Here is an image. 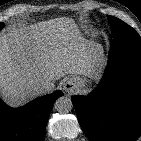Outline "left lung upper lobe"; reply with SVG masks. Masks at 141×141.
<instances>
[{"mask_svg":"<svg viewBox=\"0 0 141 141\" xmlns=\"http://www.w3.org/2000/svg\"><path fill=\"white\" fill-rule=\"evenodd\" d=\"M108 19L111 23L112 35L114 36L115 40H133L141 42V37L132 27H130L118 18L108 16Z\"/></svg>","mask_w":141,"mask_h":141,"instance_id":"5c2ea615","label":"left lung upper lobe"}]
</instances>
